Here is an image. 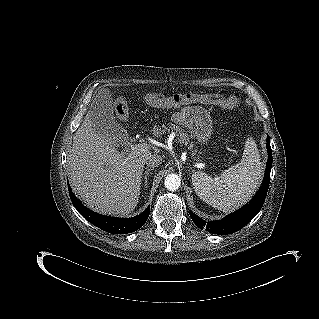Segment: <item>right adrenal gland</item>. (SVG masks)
I'll return each instance as SVG.
<instances>
[{"instance_id": "right-adrenal-gland-1", "label": "right adrenal gland", "mask_w": 319, "mask_h": 319, "mask_svg": "<svg viewBox=\"0 0 319 319\" xmlns=\"http://www.w3.org/2000/svg\"><path fill=\"white\" fill-rule=\"evenodd\" d=\"M153 169H147L145 172H144V187L147 186V179H148V175H149V172L152 171Z\"/></svg>"}]
</instances>
